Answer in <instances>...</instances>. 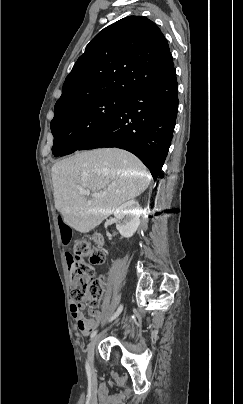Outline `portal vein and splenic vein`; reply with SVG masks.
<instances>
[{"label": "portal vein and splenic vein", "mask_w": 243, "mask_h": 404, "mask_svg": "<svg viewBox=\"0 0 243 404\" xmlns=\"http://www.w3.org/2000/svg\"><path fill=\"white\" fill-rule=\"evenodd\" d=\"M132 176V174H131ZM81 194H84V196H92V198H100V196H104L106 192H101V194H91L90 190H81Z\"/></svg>", "instance_id": "obj_1"}]
</instances>
